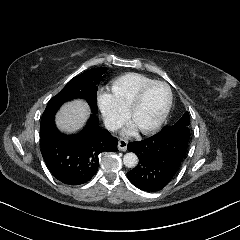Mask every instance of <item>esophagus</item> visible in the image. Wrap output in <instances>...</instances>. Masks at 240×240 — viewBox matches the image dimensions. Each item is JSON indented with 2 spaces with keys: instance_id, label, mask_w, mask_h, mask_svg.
Wrapping results in <instances>:
<instances>
[{
  "instance_id": "esophagus-1",
  "label": "esophagus",
  "mask_w": 240,
  "mask_h": 240,
  "mask_svg": "<svg viewBox=\"0 0 240 240\" xmlns=\"http://www.w3.org/2000/svg\"><path fill=\"white\" fill-rule=\"evenodd\" d=\"M128 141L126 139H120L118 141V150L125 152L127 150Z\"/></svg>"
}]
</instances>
